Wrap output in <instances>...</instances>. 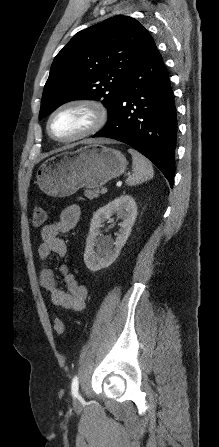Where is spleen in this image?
Here are the masks:
<instances>
[{"instance_id":"3e777b00","label":"spleen","mask_w":219,"mask_h":447,"mask_svg":"<svg viewBox=\"0 0 219 447\" xmlns=\"http://www.w3.org/2000/svg\"><path fill=\"white\" fill-rule=\"evenodd\" d=\"M129 153L133 159V173L126 179V184L134 186L151 179L153 177V167L150 161L134 149H129Z\"/></svg>"}]
</instances>
